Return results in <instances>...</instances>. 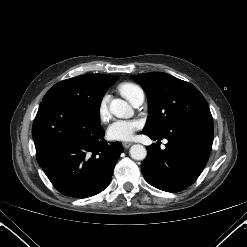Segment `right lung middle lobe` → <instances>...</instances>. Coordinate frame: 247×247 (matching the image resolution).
<instances>
[{
	"instance_id": "1",
	"label": "right lung middle lobe",
	"mask_w": 247,
	"mask_h": 247,
	"mask_svg": "<svg viewBox=\"0 0 247 247\" xmlns=\"http://www.w3.org/2000/svg\"><path fill=\"white\" fill-rule=\"evenodd\" d=\"M107 89L95 74L81 75L55 84L41 103H64L99 116L100 104Z\"/></svg>"
}]
</instances>
